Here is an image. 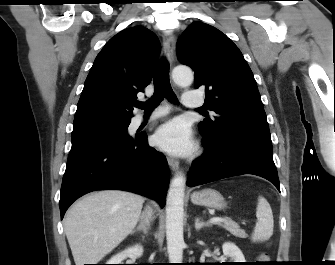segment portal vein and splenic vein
Listing matches in <instances>:
<instances>
[{
    "label": "portal vein and splenic vein",
    "mask_w": 335,
    "mask_h": 265,
    "mask_svg": "<svg viewBox=\"0 0 335 265\" xmlns=\"http://www.w3.org/2000/svg\"><path fill=\"white\" fill-rule=\"evenodd\" d=\"M223 221H224V219L221 218V217H213V218L210 219L211 223H218V222H223Z\"/></svg>",
    "instance_id": "1"
}]
</instances>
